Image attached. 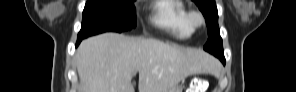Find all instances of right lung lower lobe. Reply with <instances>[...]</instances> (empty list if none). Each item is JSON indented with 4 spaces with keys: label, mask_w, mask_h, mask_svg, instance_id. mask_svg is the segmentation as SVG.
<instances>
[{
    "label": "right lung lower lobe",
    "mask_w": 296,
    "mask_h": 92,
    "mask_svg": "<svg viewBox=\"0 0 296 92\" xmlns=\"http://www.w3.org/2000/svg\"><path fill=\"white\" fill-rule=\"evenodd\" d=\"M80 41H81V39H79V38H78V41H77V44H76V46H77V45L80 43Z\"/></svg>",
    "instance_id": "98d812e1"
}]
</instances>
